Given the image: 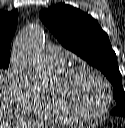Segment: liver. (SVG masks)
<instances>
[{
	"label": "liver",
	"instance_id": "obj_1",
	"mask_svg": "<svg viewBox=\"0 0 125 128\" xmlns=\"http://www.w3.org/2000/svg\"><path fill=\"white\" fill-rule=\"evenodd\" d=\"M10 99L11 95L8 86L0 76V128H10L15 124L14 120L12 121Z\"/></svg>",
	"mask_w": 125,
	"mask_h": 128
}]
</instances>
